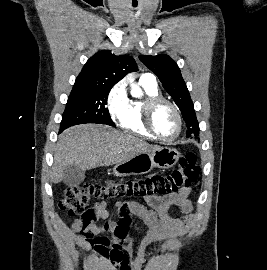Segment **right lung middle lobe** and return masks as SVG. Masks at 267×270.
<instances>
[{"label": "right lung middle lobe", "instance_id": "dd1d6c3e", "mask_svg": "<svg viewBox=\"0 0 267 270\" xmlns=\"http://www.w3.org/2000/svg\"><path fill=\"white\" fill-rule=\"evenodd\" d=\"M111 88L112 86H73L62 116L60 132L83 123H99L114 127L106 107Z\"/></svg>", "mask_w": 267, "mask_h": 270}]
</instances>
